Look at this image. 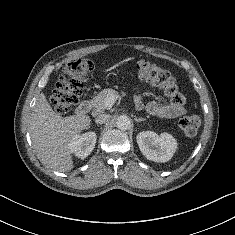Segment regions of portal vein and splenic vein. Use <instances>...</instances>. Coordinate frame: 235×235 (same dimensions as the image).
Segmentation results:
<instances>
[{"label": "portal vein and splenic vein", "mask_w": 235, "mask_h": 235, "mask_svg": "<svg viewBox=\"0 0 235 235\" xmlns=\"http://www.w3.org/2000/svg\"><path fill=\"white\" fill-rule=\"evenodd\" d=\"M118 97H119L118 95L112 94L106 98L105 105H106L107 109L112 108V106L114 105V103L118 99Z\"/></svg>", "instance_id": "obj_1"}]
</instances>
